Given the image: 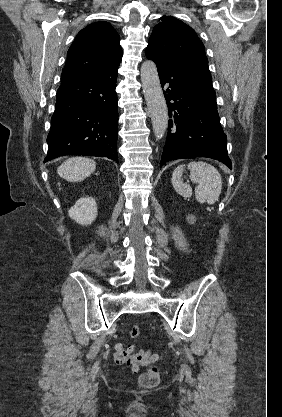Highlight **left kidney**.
Instances as JSON below:
<instances>
[{"label":"left kidney","mask_w":282,"mask_h":417,"mask_svg":"<svg viewBox=\"0 0 282 417\" xmlns=\"http://www.w3.org/2000/svg\"><path fill=\"white\" fill-rule=\"evenodd\" d=\"M195 221H196V217H194V215H188L187 223H189V225H194Z\"/></svg>","instance_id":"obj_1"}]
</instances>
